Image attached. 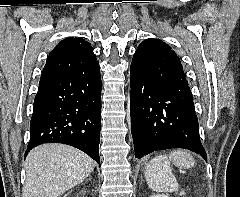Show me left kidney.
<instances>
[{
  "label": "left kidney",
  "instance_id": "obj_1",
  "mask_svg": "<svg viewBox=\"0 0 240 197\" xmlns=\"http://www.w3.org/2000/svg\"><path fill=\"white\" fill-rule=\"evenodd\" d=\"M149 197H168V196L165 194H152Z\"/></svg>",
  "mask_w": 240,
  "mask_h": 197
}]
</instances>
